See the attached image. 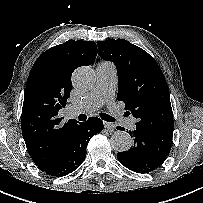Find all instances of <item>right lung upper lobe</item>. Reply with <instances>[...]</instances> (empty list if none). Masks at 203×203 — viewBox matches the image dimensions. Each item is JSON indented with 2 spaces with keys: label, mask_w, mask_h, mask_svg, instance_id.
<instances>
[{
  "label": "right lung upper lobe",
  "mask_w": 203,
  "mask_h": 203,
  "mask_svg": "<svg viewBox=\"0 0 203 203\" xmlns=\"http://www.w3.org/2000/svg\"><path fill=\"white\" fill-rule=\"evenodd\" d=\"M97 56L93 41L70 40L43 52L27 79L21 115L22 135L28 152L39 168L57 155L69 129L78 121L61 123L60 109L72 89V72L90 65Z\"/></svg>",
  "instance_id": "right-lung-upper-lobe-1"
}]
</instances>
